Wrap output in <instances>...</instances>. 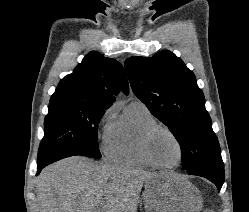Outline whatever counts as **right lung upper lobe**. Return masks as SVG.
Wrapping results in <instances>:
<instances>
[{
  "label": "right lung upper lobe",
  "instance_id": "obj_1",
  "mask_svg": "<svg viewBox=\"0 0 249 212\" xmlns=\"http://www.w3.org/2000/svg\"><path fill=\"white\" fill-rule=\"evenodd\" d=\"M122 90L129 92L122 65L92 51L74 72L64 77L50 100H79L93 105L110 107Z\"/></svg>",
  "mask_w": 249,
  "mask_h": 212
}]
</instances>
